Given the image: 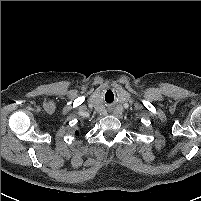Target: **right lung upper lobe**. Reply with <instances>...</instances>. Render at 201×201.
<instances>
[{"mask_svg": "<svg viewBox=\"0 0 201 201\" xmlns=\"http://www.w3.org/2000/svg\"><path fill=\"white\" fill-rule=\"evenodd\" d=\"M79 133H78V131L76 132V135H78Z\"/></svg>", "mask_w": 201, "mask_h": 201, "instance_id": "right-lung-upper-lobe-1", "label": "right lung upper lobe"}]
</instances>
